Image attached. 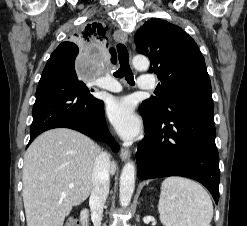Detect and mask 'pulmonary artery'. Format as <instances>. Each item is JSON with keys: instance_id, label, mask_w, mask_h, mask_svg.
<instances>
[{"instance_id": "e3ab8cb5", "label": "pulmonary artery", "mask_w": 247, "mask_h": 226, "mask_svg": "<svg viewBox=\"0 0 247 226\" xmlns=\"http://www.w3.org/2000/svg\"><path fill=\"white\" fill-rule=\"evenodd\" d=\"M100 87L103 89H106L111 92H120L122 90L121 84L111 78V77H105L104 79L101 80L99 83ZM156 87V82L154 78L151 76H141L138 80V88L142 90H151Z\"/></svg>"}]
</instances>
